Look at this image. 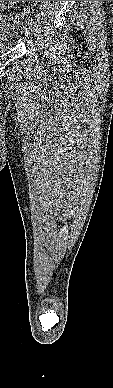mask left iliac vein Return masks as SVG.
Wrapping results in <instances>:
<instances>
[{
  "label": "left iliac vein",
  "mask_w": 113,
  "mask_h": 388,
  "mask_svg": "<svg viewBox=\"0 0 113 388\" xmlns=\"http://www.w3.org/2000/svg\"><path fill=\"white\" fill-rule=\"evenodd\" d=\"M22 33L25 34L26 36L30 35V33H31V24L26 23L22 27Z\"/></svg>",
  "instance_id": "4c4485c4"
}]
</instances>
